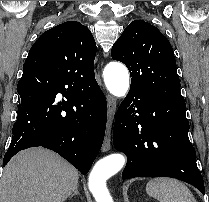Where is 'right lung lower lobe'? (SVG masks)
I'll return each mask as SVG.
<instances>
[{
  "label": "right lung lower lobe",
  "mask_w": 209,
  "mask_h": 202,
  "mask_svg": "<svg viewBox=\"0 0 209 202\" xmlns=\"http://www.w3.org/2000/svg\"><path fill=\"white\" fill-rule=\"evenodd\" d=\"M17 92L21 104L3 166L18 151L43 146L87 174L102 146L107 120L106 98L97 82L77 90L46 70H36L23 72ZM58 93L65 100H55Z\"/></svg>",
  "instance_id": "98d812e1"
}]
</instances>
